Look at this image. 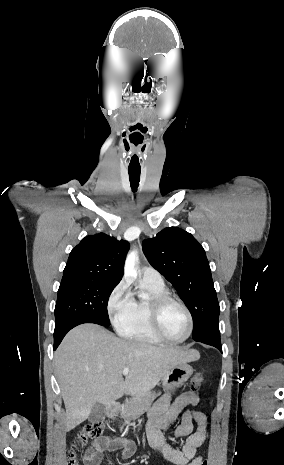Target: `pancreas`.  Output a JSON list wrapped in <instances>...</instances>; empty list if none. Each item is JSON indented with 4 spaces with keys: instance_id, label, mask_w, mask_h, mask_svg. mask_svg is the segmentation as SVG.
<instances>
[{
    "instance_id": "cf45deb5",
    "label": "pancreas",
    "mask_w": 284,
    "mask_h": 465,
    "mask_svg": "<svg viewBox=\"0 0 284 465\" xmlns=\"http://www.w3.org/2000/svg\"><path fill=\"white\" fill-rule=\"evenodd\" d=\"M158 395L154 391H146V393H140V395H132V399H127L125 405H122L120 409V419H124L125 423L130 425V421L138 419L140 415H144L148 409H150L154 399ZM123 429V427H120Z\"/></svg>"
}]
</instances>
